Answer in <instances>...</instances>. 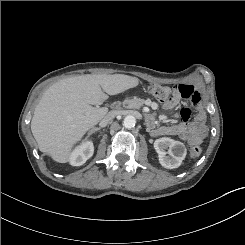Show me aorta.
Masks as SVG:
<instances>
[{
    "label": "aorta",
    "mask_w": 245,
    "mask_h": 245,
    "mask_svg": "<svg viewBox=\"0 0 245 245\" xmlns=\"http://www.w3.org/2000/svg\"><path fill=\"white\" fill-rule=\"evenodd\" d=\"M136 124V118L132 115H127L123 120V126L125 128H133Z\"/></svg>",
    "instance_id": "aorta-1"
}]
</instances>
